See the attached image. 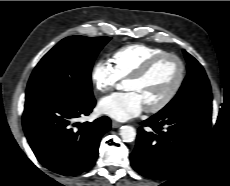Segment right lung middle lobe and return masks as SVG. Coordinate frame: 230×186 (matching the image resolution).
<instances>
[{"instance_id":"dd1d6c3e","label":"right lung middle lobe","mask_w":230,"mask_h":186,"mask_svg":"<svg viewBox=\"0 0 230 186\" xmlns=\"http://www.w3.org/2000/svg\"><path fill=\"white\" fill-rule=\"evenodd\" d=\"M110 37L70 36L53 47L35 67L26 100L47 94L92 97L93 62Z\"/></svg>"}]
</instances>
